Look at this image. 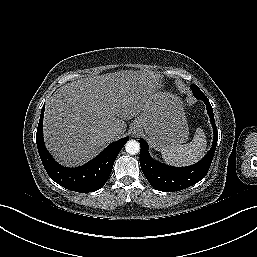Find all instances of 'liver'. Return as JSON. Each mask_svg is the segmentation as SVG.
I'll return each instance as SVG.
<instances>
[{"instance_id": "1", "label": "liver", "mask_w": 257, "mask_h": 257, "mask_svg": "<svg viewBox=\"0 0 257 257\" xmlns=\"http://www.w3.org/2000/svg\"><path fill=\"white\" fill-rule=\"evenodd\" d=\"M157 81L151 72L123 70L61 86L46 104V147L61 164L82 165L125 133L124 120L137 116L160 92ZM108 130L117 136L110 139Z\"/></svg>"}]
</instances>
